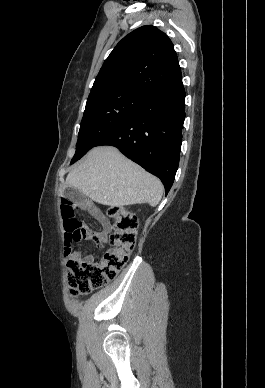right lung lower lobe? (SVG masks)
I'll use <instances>...</instances> for the list:
<instances>
[{
  "label": "right lung lower lobe",
  "instance_id": "1",
  "mask_svg": "<svg viewBox=\"0 0 265 388\" xmlns=\"http://www.w3.org/2000/svg\"><path fill=\"white\" fill-rule=\"evenodd\" d=\"M184 100L182 80L149 94L132 115L95 146L117 147L125 156L160 178L167 194L179 164Z\"/></svg>",
  "mask_w": 265,
  "mask_h": 388
}]
</instances>
